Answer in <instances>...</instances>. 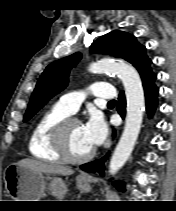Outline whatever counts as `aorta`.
Wrapping results in <instances>:
<instances>
[{"instance_id":"762f6f07","label":"aorta","mask_w":176,"mask_h":211,"mask_svg":"<svg viewBox=\"0 0 176 211\" xmlns=\"http://www.w3.org/2000/svg\"><path fill=\"white\" fill-rule=\"evenodd\" d=\"M89 71L92 73H116L120 76L125 88L127 101L125 126L109 165V173L113 176L128 160L140 132L145 110L142 81L134 67L109 59H102L91 64Z\"/></svg>"}]
</instances>
